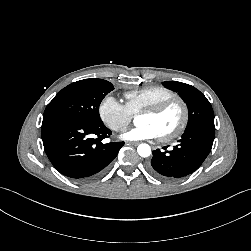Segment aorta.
Listing matches in <instances>:
<instances>
[{"label":"aorta","mask_w":251,"mask_h":251,"mask_svg":"<svg viewBox=\"0 0 251 251\" xmlns=\"http://www.w3.org/2000/svg\"><path fill=\"white\" fill-rule=\"evenodd\" d=\"M137 152L141 157H148L151 154V148L148 144H140L137 147Z\"/></svg>","instance_id":"1"}]
</instances>
